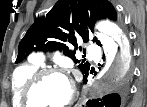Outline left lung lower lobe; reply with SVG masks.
Instances as JSON below:
<instances>
[{
  "label": "left lung lower lobe",
  "instance_id": "1",
  "mask_svg": "<svg viewBox=\"0 0 147 107\" xmlns=\"http://www.w3.org/2000/svg\"><path fill=\"white\" fill-rule=\"evenodd\" d=\"M87 74L84 75L83 82L86 83ZM128 96V85L125 80L119 84L115 93L108 94L100 99L89 100L83 107H124Z\"/></svg>",
  "mask_w": 147,
  "mask_h": 107
}]
</instances>
